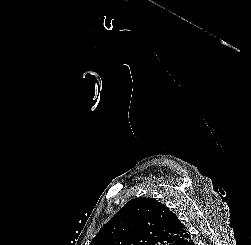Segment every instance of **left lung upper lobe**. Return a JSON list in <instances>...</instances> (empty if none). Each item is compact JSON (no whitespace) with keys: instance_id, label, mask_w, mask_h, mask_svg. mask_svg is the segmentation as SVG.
I'll use <instances>...</instances> for the list:
<instances>
[{"instance_id":"left-lung-upper-lobe-1","label":"left lung upper lobe","mask_w":251,"mask_h":245,"mask_svg":"<svg viewBox=\"0 0 251 245\" xmlns=\"http://www.w3.org/2000/svg\"><path fill=\"white\" fill-rule=\"evenodd\" d=\"M186 232L179 218L152 198L131 199L90 245H173Z\"/></svg>"}]
</instances>
